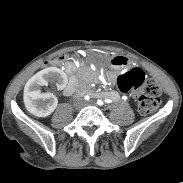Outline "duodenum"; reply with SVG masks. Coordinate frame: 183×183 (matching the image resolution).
Listing matches in <instances>:
<instances>
[{
    "instance_id": "duodenum-1",
    "label": "duodenum",
    "mask_w": 183,
    "mask_h": 183,
    "mask_svg": "<svg viewBox=\"0 0 183 183\" xmlns=\"http://www.w3.org/2000/svg\"><path fill=\"white\" fill-rule=\"evenodd\" d=\"M77 90V81L74 77H72L66 87V93L71 95L74 94Z\"/></svg>"
}]
</instances>
